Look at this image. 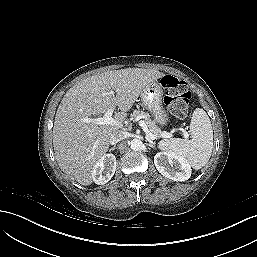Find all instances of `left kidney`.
I'll list each match as a JSON object with an SVG mask.
<instances>
[{
	"label": "left kidney",
	"mask_w": 257,
	"mask_h": 257,
	"mask_svg": "<svg viewBox=\"0 0 257 257\" xmlns=\"http://www.w3.org/2000/svg\"><path fill=\"white\" fill-rule=\"evenodd\" d=\"M154 164L161 175L173 181H186L191 176V166L176 153L159 152L154 156Z\"/></svg>",
	"instance_id": "obj_1"
}]
</instances>
